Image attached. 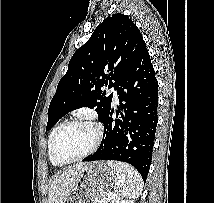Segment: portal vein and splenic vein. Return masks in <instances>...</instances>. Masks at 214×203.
Masks as SVG:
<instances>
[{
	"mask_svg": "<svg viewBox=\"0 0 214 203\" xmlns=\"http://www.w3.org/2000/svg\"><path fill=\"white\" fill-rule=\"evenodd\" d=\"M115 196H116V194L114 192H111V193L108 194V198L109 199H114Z\"/></svg>",
	"mask_w": 214,
	"mask_h": 203,
	"instance_id": "portal-vein-and-splenic-vein-1",
	"label": "portal vein and splenic vein"
}]
</instances>
